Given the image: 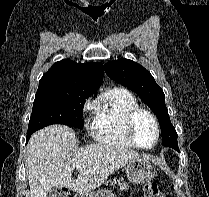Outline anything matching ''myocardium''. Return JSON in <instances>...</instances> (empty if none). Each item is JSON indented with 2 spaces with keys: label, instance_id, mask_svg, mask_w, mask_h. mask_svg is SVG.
Wrapping results in <instances>:
<instances>
[{
  "label": "myocardium",
  "instance_id": "1",
  "mask_svg": "<svg viewBox=\"0 0 209 197\" xmlns=\"http://www.w3.org/2000/svg\"><path fill=\"white\" fill-rule=\"evenodd\" d=\"M140 113H145L148 116H150V118L153 121L154 124V128H155V140L154 143L151 146L145 147V146H141L136 138H135V134H134V125H135V119L137 117L138 114ZM126 133H127V137L129 139V141L132 143V145L138 149H143V150H151L153 149L159 142V138H160V126H159V122L157 119V116L155 115V113L153 111H151L150 109L146 108V107H142V106H136L134 108H132L126 117Z\"/></svg>",
  "mask_w": 209,
  "mask_h": 197
}]
</instances>
